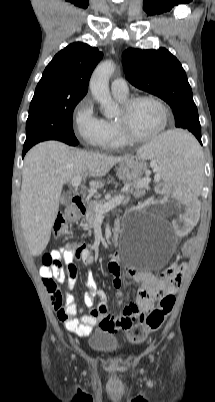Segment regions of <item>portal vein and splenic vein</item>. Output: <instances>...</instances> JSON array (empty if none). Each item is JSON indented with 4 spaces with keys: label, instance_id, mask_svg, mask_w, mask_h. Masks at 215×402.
<instances>
[{
    "label": "portal vein and splenic vein",
    "instance_id": "18ae733b",
    "mask_svg": "<svg viewBox=\"0 0 215 402\" xmlns=\"http://www.w3.org/2000/svg\"><path fill=\"white\" fill-rule=\"evenodd\" d=\"M81 181H82V176H77L71 180V184L74 188H77L80 186ZM156 181H158V179H156ZM148 182H149V179L147 178L142 183L139 184V187L147 186ZM125 190H127V188ZM123 200H124V196L119 195V196H116L115 198H113L112 200H110L109 202H106L103 205H100V204L96 205L95 203H93V204H95L96 215L102 216L103 214L109 212L110 210L115 208L117 205H119Z\"/></svg>",
    "mask_w": 215,
    "mask_h": 402
}]
</instances>
